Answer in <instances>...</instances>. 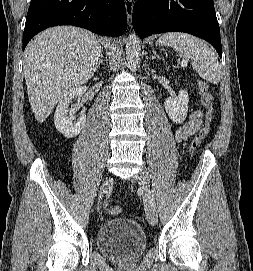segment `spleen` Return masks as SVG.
<instances>
[{"label":"spleen","instance_id":"1","mask_svg":"<svg viewBox=\"0 0 253 271\" xmlns=\"http://www.w3.org/2000/svg\"><path fill=\"white\" fill-rule=\"evenodd\" d=\"M157 44L170 46L181 56L190 59L193 69L198 75L213 84L220 81V65L214 51L202 40L180 32L163 34Z\"/></svg>","mask_w":253,"mask_h":271}]
</instances>
